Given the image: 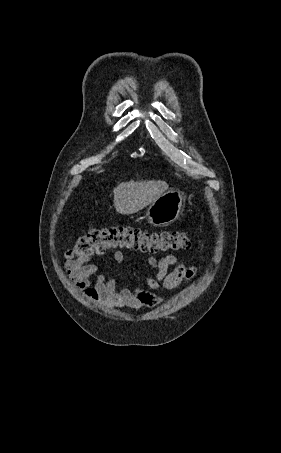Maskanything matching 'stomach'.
<instances>
[{
	"instance_id": "1",
	"label": "stomach",
	"mask_w": 281,
	"mask_h": 453,
	"mask_svg": "<svg viewBox=\"0 0 281 453\" xmlns=\"http://www.w3.org/2000/svg\"><path fill=\"white\" fill-rule=\"evenodd\" d=\"M183 206V192L169 188L153 200L146 210V218L153 227H168L177 220Z\"/></svg>"
}]
</instances>
